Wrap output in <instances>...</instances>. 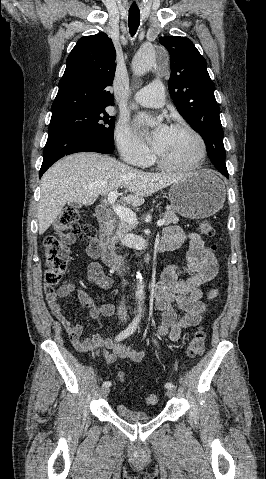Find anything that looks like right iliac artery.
<instances>
[{
  "instance_id": "right-iliac-artery-1",
  "label": "right iliac artery",
  "mask_w": 266,
  "mask_h": 479,
  "mask_svg": "<svg viewBox=\"0 0 266 479\" xmlns=\"http://www.w3.org/2000/svg\"><path fill=\"white\" fill-rule=\"evenodd\" d=\"M139 322H140V317H139V316H136V317L133 319V321L129 324V326H128L125 330H123L122 332H120V333L116 336L115 340H116V341H121V340H123V339L129 337L131 334H133V333L135 332V330H136L137 327H138ZM103 386H105V387H110V386H111V382L105 381V382L103 383Z\"/></svg>"
}]
</instances>
